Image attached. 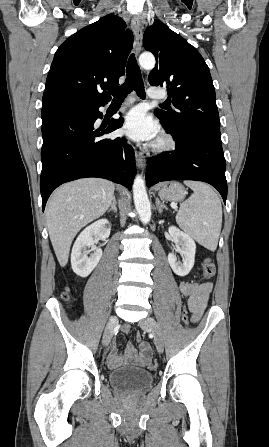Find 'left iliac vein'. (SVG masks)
Here are the masks:
<instances>
[{
	"label": "left iliac vein",
	"mask_w": 269,
	"mask_h": 447,
	"mask_svg": "<svg viewBox=\"0 0 269 447\" xmlns=\"http://www.w3.org/2000/svg\"><path fill=\"white\" fill-rule=\"evenodd\" d=\"M140 327H147L150 329L151 332H153L155 345L158 351L161 352L164 348V342L161 328L158 322L154 318L147 316L145 319L141 320Z\"/></svg>",
	"instance_id": "left-iliac-vein-1"
}]
</instances>
